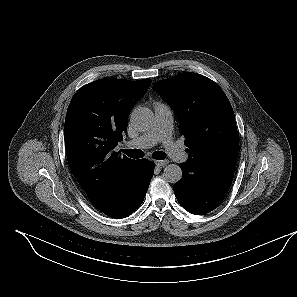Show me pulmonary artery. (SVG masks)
I'll return each mask as SVG.
<instances>
[{
	"mask_svg": "<svg viewBox=\"0 0 297 297\" xmlns=\"http://www.w3.org/2000/svg\"><path fill=\"white\" fill-rule=\"evenodd\" d=\"M154 123L149 131L139 137L126 141L125 146L130 148H149L162 143L168 154L178 162H184L187 155L173 141L174 126L173 113L170 106L164 102H155Z\"/></svg>",
	"mask_w": 297,
	"mask_h": 297,
	"instance_id": "pulmonary-artery-1",
	"label": "pulmonary artery"
}]
</instances>
